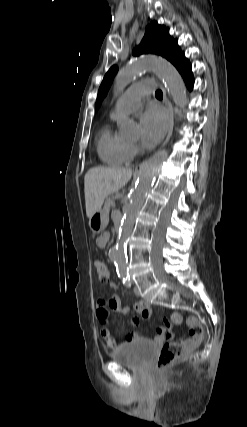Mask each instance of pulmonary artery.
Segmentation results:
<instances>
[{
  "label": "pulmonary artery",
  "mask_w": 247,
  "mask_h": 427,
  "mask_svg": "<svg viewBox=\"0 0 247 427\" xmlns=\"http://www.w3.org/2000/svg\"><path fill=\"white\" fill-rule=\"evenodd\" d=\"M153 88L151 82L131 86L122 94L115 108L111 111V115L115 116L118 112L129 113L136 110L141 105L143 98L153 91Z\"/></svg>",
  "instance_id": "1"
}]
</instances>
